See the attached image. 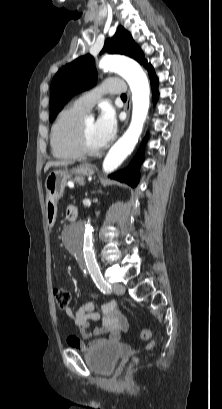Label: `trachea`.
Masks as SVG:
<instances>
[{
  "label": "trachea",
  "instance_id": "1",
  "mask_svg": "<svg viewBox=\"0 0 222 409\" xmlns=\"http://www.w3.org/2000/svg\"><path fill=\"white\" fill-rule=\"evenodd\" d=\"M121 98H122V99H127L126 94H122V95H121Z\"/></svg>",
  "mask_w": 222,
  "mask_h": 409
}]
</instances>
